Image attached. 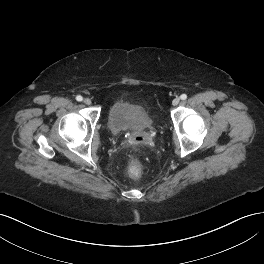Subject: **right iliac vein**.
I'll list each match as a JSON object with an SVG mask.
<instances>
[{"instance_id": "63e3f726", "label": "right iliac vein", "mask_w": 264, "mask_h": 264, "mask_svg": "<svg viewBox=\"0 0 264 264\" xmlns=\"http://www.w3.org/2000/svg\"><path fill=\"white\" fill-rule=\"evenodd\" d=\"M83 102L86 104V105H90L91 104V100L89 98H85L83 100Z\"/></svg>"}]
</instances>
